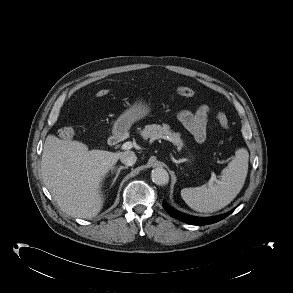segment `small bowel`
Segmentation results:
<instances>
[{
  "label": "small bowel",
  "instance_id": "1",
  "mask_svg": "<svg viewBox=\"0 0 293 293\" xmlns=\"http://www.w3.org/2000/svg\"><path fill=\"white\" fill-rule=\"evenodd\" d=\"M209 108L205 105L195 112L182 110L178 113V120L194 136L197 142L202 143L206 139V126Z\"/></svg>",
  "mask_w": 293,
  "mask_h": 293
}]
</instances>
